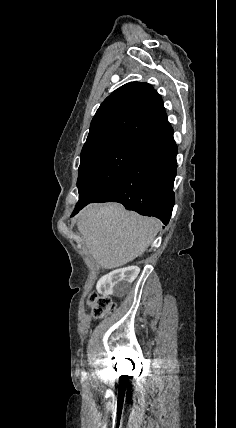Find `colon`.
Returning a JSON list of instances; mask_svg holds the SVG:
<instances>
[{"label": "colon", "mask_w": 236, "mask_h": 428, "mask_svg": "<svg viewBox=\"0 0 236 428\" xmlns=\"http://www.w3.org/2000/svg\"><path fill=\"white\" fill-rule=\"evenodd\" d=\"M88 305L92 310L93 316L103 318L115 310V303L112 299L104 296H97L94 293L89 294Z\"/></svg>", "instance_id": "1"}]
</instances>
